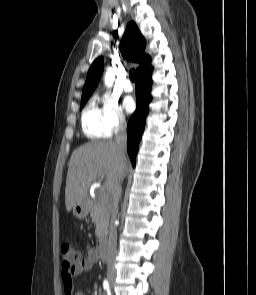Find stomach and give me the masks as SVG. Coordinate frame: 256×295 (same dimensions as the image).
Segmentation results:
<instances>
[{"label": "stomach", "mask_w": 256, "mask_h": 295, "mask_svg": "<svg viewBox=\"0 0 256 295\" xmlns=\"http://www.w3.org/2000/svg\"><path fill=\"white\" fill-rule=\"evenodd\" d=\"M88 214V207L85 203L77 204L73 207V215L78 219H84Z\"/></svg>", "instance_id": "1"}]
</instances>
